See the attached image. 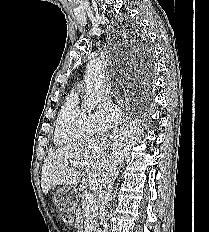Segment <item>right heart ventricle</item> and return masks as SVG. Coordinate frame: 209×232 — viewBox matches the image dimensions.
I'll return each mask as SVG.
<instances>
[{
  "instance_id": "e07e8e85",
  "label": "right heart ventricle",
  "mask_w": 209,
  "mask_h": 232,
  "mask_svg": "<svg viewBox=\"0 0 209 232\" xmlns=\"http://www.w3.org/2000/svg\"><path fill=\"white\" fill-rule=\"evenodd\" d=\"M95 133L91 114L79 105V93L71 92L58 115L55 143L59 146H69L89 140Z\"/></svg>"
}]
</instances>
